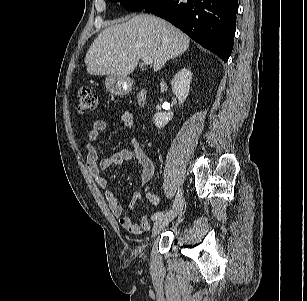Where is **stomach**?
Returning <instances> with one entry per match:
<instances>
[{"label": "stomach", "mask_w": 307, "mask_h": 301, "mask_svg": "<svg viewBox=\"0 0 307 301\" xmlns=\"http://www.w3.org/2000/svg\"><path fill=\"white\" fill-rule=\"evenodd\" d=\"M105 87L114 95H124L130 91L131 84L127 77L108 76L105 79Z\"/></svg>", "instance_id": "0dacf381"}]
</instances>
